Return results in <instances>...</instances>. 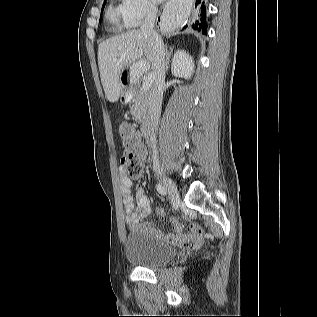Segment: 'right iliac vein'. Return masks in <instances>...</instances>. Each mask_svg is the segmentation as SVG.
<instances>
[{
  "instance_id": "1",
  "label": "right iliac vein",
  "mask_w": 317,
  "mask_h": 317,
  "mask_svg": "<svg viewBox=\"0 0 317 317\" xmlns=\"http://www.w3.org/2000/svg\"><path fill=\"white\" fill-rule=\"evenodd\" d=\"M160 177L162 178L164 186L168 190L170 199L172 201H175L178 198V190H177L176 185L174 184V182L171 179H169L164 174H160Z\"/></svg>"
}]
</instances>
